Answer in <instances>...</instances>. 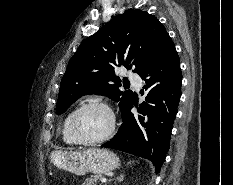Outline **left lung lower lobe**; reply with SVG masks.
<instances>
[{
	"mask_svg": "<svg viewBox=\"0 0 233 185\" xmlns=\"http://www.w3.org/2000/svg\"><path fill=\"white\" fill-rule=\"evenodd\" d=\"M139 75L145 81L143 88L150 89L138 108L139 114L131 113L133 100L122 116L123 123L117 134L102 146L148 159L159 172L169 148L181 97L180 61L169 36Z\"/></svg>",
	"mask_w": 233,
	"mask_h": 185,
	"instance_id": "0a47b994",
	"label": "left lung lower lobe"
}]
</instances>
